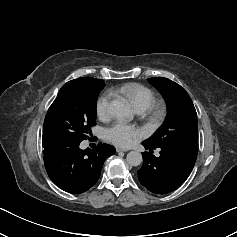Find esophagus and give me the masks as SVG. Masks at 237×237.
Masks as SVG:
<instances>
[{"instance_id": "1", "label": "esophagus", "mask_w": 237, "mask_h": 237, "mask_svg": "<svg viewBox=\"0 0 237 237\" xmlns=\"http://www.w3.org/2000/svg\"><path fill=\"white\" fill-rule=\"evenodd\" d=\"M116 151L117 152H127L128 149H123V148L116 147Z\"/></svg>"}]
</instances>
